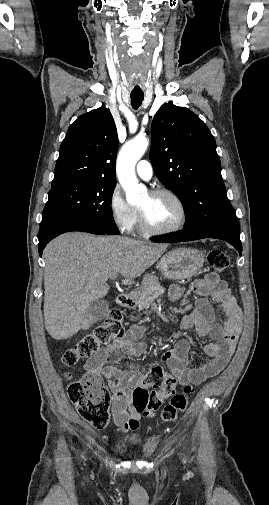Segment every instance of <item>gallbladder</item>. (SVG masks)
I'll use <instances>...</instances> for the list:
<instances>
[{
    "label": "gallbladder",
    "instance_id": "bac80fb5",
    "mask_svg": "<svg viewBox=\"0 0 269 505\" xmlns=\"http://www.w3.org/2000/svg\"><path fill=\"white\" fill-rule=\"evenodd\" d=\"M109 311L107 301L98 299L90 303L85 315L83 316L82 329H89L94 323L103 320Z\"/></svg>",
    "mask_w": 269,
    "mask_h": 505
}]
</instances>
